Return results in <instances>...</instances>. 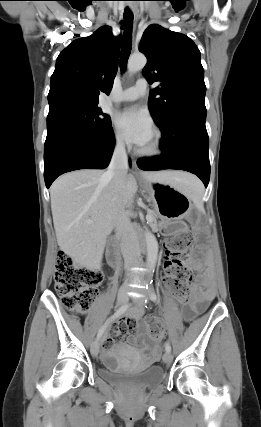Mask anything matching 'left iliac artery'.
<instances>
[{"instance_id":"44dca946","label":"left iliac artery","mask_w":261,"mask_h":427,"mask_svg":"<svg viewBox=\"0 0 261 427\" xmlns=\"http://www.w3.org/2000/svg\"><path fill=\"white\" fill-rule=\"evenodd\" d=\"M149 297L153 302L157 301V296H156L155 292L152 290H150V292H149ZM145 303H146V301H145ZM145 307H147V306H145ZM165 350L167 352H171V346L168 342L165 343Z\"/></svg>"}]
</instances>
